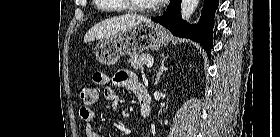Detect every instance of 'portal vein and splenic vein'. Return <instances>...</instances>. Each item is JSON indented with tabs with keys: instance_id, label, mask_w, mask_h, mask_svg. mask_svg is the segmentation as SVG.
<instances>
[{
	"instance_id": "18ae733b",
	"label": "portal vein and splenic vein",
	"mask_w": 280,
	"mask_h": 137,
	"mask_svg": "<svg viewBox=\"0 0 280 137\" xmlns=\"http://www.w3.org/2000/svg\"><path fill=\"white\" fill-rule=\"evenodd\" d=\"M152 66H153V62H148V63H147V67H148V68H150V67H152Z\"/></svg>"
}]
</instances>
